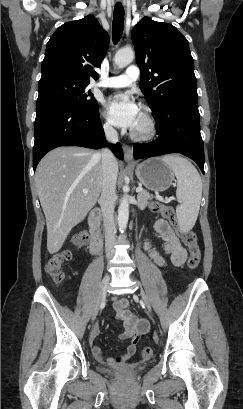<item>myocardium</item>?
<instances>
[{
  "label": "myocardium",
  "instance_id": "obj_1",
  "mask_svg": "<svg viewBox=\"0 0 243 409\" xmlns=\"http://www.w3.org/2000/svg\"><path fill=\"white\" fill-rule=\"evenodd\" d=\"M139 108L142 110L146 123V130L143 132H136L134 130L130 131V137L135 141H150L158 133V125L150 107L146 104L141 103Z\"/></svg>",
  "mask_w": 243,
  "mask_h": 409
}]
</instances>
